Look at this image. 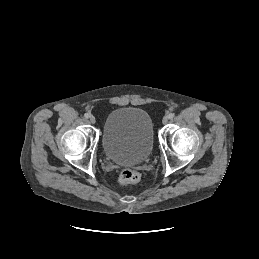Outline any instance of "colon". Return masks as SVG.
Returning <instances> with one entry per match:
<instances>
[{
    "mask_svg": "<svg viewBox=\"0 0 259 259\" xmlns=\"http://www.w3.org/2000/svg\"><path fill=\"white\" fill-rule=\"evenodd\" d=\"M141 179V175L132 169H126L121 172L119 176V182L122 185H129L139 182Z\"/></svg>",
    "mask_w": 259,
    "mask_h": 259,
    "instance_id": "colon-1",
    "label": "colon"
}]
</instances>
